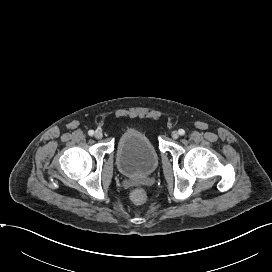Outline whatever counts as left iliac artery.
Masks as SVG:
<instances>
[{
    "mask_svg": "<svg viewBox=\"0 0 272 272\" xmlns=\"http://www.w3.org/2000/svg\"><path fill=\"white\" fill-rule=\"evenodd\" d=\"M178 133H179L180 135H184V134H185V130L179 129V130H178Z\"/></svg>",
    "mask_w": 272,
    "mask_h": 272,
    "instance_id": "1",
    "label": "left iliac artery"
}]
</instances>
